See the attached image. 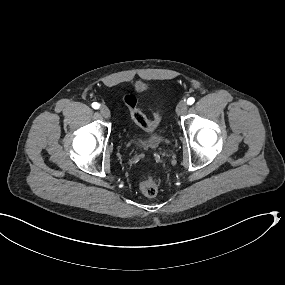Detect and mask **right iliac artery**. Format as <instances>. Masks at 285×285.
I'll return each instance as SVG.
<instances>
[{"mask_svg": "<svg viewBox=\"0 0 285 285\" xmlns=\"http://www.w3.org/2000/svg\"><path fill=\"white\" fill-rule=\"evenodd\" d=\"M99 106H100V105H99L97 102L92 103V107H93L94 109H98Z\"/></svg>", "mask_w": 285, "mask_h": 285, "instance_id": "right-iliac-artery-1", "label": "right iliac artery"}]
</instances>
